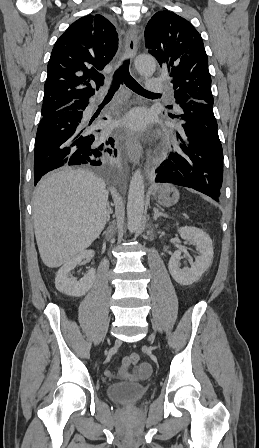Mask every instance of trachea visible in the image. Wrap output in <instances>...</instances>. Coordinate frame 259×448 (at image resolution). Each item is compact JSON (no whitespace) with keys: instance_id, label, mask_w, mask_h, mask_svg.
<instances>
[{"instance_id":"trachea-1","label":"trachea","mask_w":259,"mask_h":448,"mask_svg":"<svg viewBox=\"0 0 259 448\" xmlns=\"http://www.w3.org/2000/svg\"><path fill=\"white\" fill-rule=\"evenodd\" d=\"M125 83V85L133 90V92L142 94V93H152L149 92V90H145V88L141 87L139 83L136 82V80L130 75L129 72V59L124 60L122 65L116 70L113 80L110 85V89L108 90V95H112L116 93V91L119 89V86L121 83Z\"/></svg>"}]
</instances>
